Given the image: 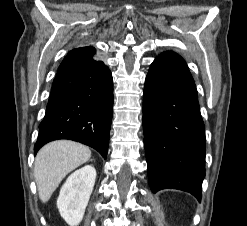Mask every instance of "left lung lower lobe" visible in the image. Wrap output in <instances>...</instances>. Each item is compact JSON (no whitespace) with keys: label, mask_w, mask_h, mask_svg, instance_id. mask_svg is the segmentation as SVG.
Listing matches in <instances>:
<instances>
[{"label":"left lung lower lobe","mask_w":247,"mask_h":226,"mask_svg":"<svg viewBox=\"0 0 247 226\" xmlns=\"http://www.w3.org/2000/svg\"><path fill=\"white\" fill-rule=\"evenodd\" d=\"M143 129L153 192L172 188L201 200L205 176V127L195 82L178 54L158 56L147 74Z\"/></svg>","instance_id":"obj_1"}]
</instances>
